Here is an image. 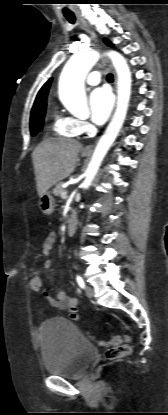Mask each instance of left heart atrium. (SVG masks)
<instances>
[{
	"instance_id": "left-heart-atrium-1",
	"label": "left heart atrium",
	"mask_w": 168,
	"mask_h": 415,
	"mask_svg": "<svg viewBox=\"0 0 168 415\" xmlns=\"http://www.w3.org/2000/svg\"><path fill=\"white\" fill-rule=\"evenodd\" d=\"M91 120L97 125H101L108 119L112 107L113 97L106 88L95 89L89 98Z\"/></svg>"
}]
</instances>
